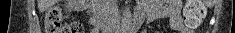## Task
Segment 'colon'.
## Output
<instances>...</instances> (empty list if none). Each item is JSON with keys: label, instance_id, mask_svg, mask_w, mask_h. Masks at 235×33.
Returning a JSON list of instances; mask_svg holds the SVG:
<instances>
[{"label": "colon", "instance_id": "colon-1", "mask_svg": "<svg viewBox=\"0 0 235 33\" xmlns=\"http://www.w3.org/2000/svg\"><path fill=\"white\" fill-rule=\"evenodd\" d=\"M205 16V8L200 0H187L183 9V18L187 27H198ZM45 33H83V26L79 22L69 24L62 22V9L51 8L45 17Z\"/></svg>", "mask_w": 235, "mask_h": 33}]
</instances>
